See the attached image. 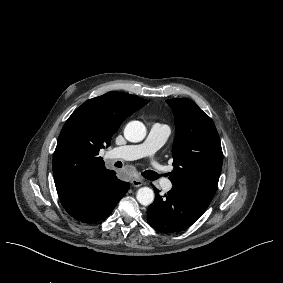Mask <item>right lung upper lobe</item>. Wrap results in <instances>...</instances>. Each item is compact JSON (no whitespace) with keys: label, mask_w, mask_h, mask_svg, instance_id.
I'll list each match as a JSON object with an SVG mask.
<instances>
[{"label":"right lung upper lobe","mask_w":283,"mask_h":283,"mask_svg":"<svg viewBox=\"0 0 283 283\" xmlns=\"http://www.w3.org/2000/svg\"><path fill=\"white\" fill-rule=\"evenodd\" d=\"M147 103L138 96L108 92L87 100L72 113L53 156L60 200L77 195L107 171L99 150L108 147L121 123Z\"/></svg>","instance_id":"obj_1"}]
</instances>
